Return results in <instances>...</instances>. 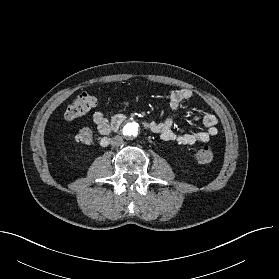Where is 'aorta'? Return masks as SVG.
Returning a JSON list of instances; mask_svg holds the SVG:
<instances>
[{"label":"aorta","instance_id":"obj_1","mask_svg":"<svg viewBox=\"0 0 279 279\" xmlns=\"http://www.w3.org/2000/svg\"><path fill=\"white\" fill-rule=\"evenodd\" d=\"M139 125L135 121H129L124 124L122 128V134L126 138H134L138 135Z\"/></svg>","mask_w":279,"mask_h":279}]
</instances>
